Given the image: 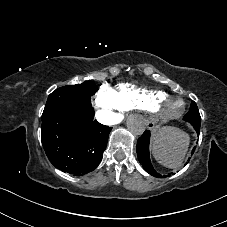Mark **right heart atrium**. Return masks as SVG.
Instances as JSON below:
<instances>
[{
  "instance_id": "1",
  "label": "right heart atrium",
  "mask_w": 227,
  "mask_h": 227,
  "mask_svg": "<svg viewBox=\"0 0 227 227\" xmlns=\"http://www.w3.org/2000/svg\"><path fill=\"white\" fill-rule=\"evenodd\" d=\"M94 107L105 122H115L123 113V109L116 99L112 88L108 85H102L97 91Z\"/></svg>"
}]
</instances>
